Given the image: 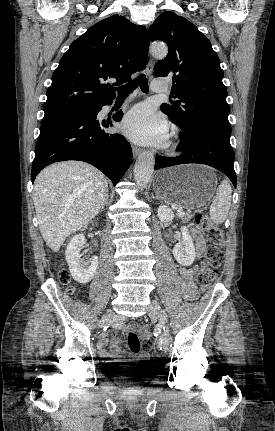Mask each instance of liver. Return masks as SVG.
<instances>
[{
	"label": "liver",
	"instance_id": "6515ba94",
	"mask_svg": "<svg viewBox=\"0 0 275 431\" xmlns=\"http://www.w3.org/2000/svg\"><path fill=\"white\" fill-rule=\"evenodd\" d=\"M107 196V178L87 163L64 161L42 170L33 200L41 235L51 250L57 252L70 234L94 218Z\"/></svg>",
	"mask_w": 275,
	"mask_h": 431
}]
</instances>
